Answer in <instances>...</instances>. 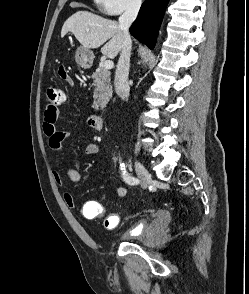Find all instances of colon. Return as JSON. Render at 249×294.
Listing matches in <instances>:
<instances>
[{"instance_id":"obj_1","label":"colon","mask_w":249,"mask_h":294,"mask_svg":"<svg viewBox=\"0 0 249 294\" xmlns=\"http://www.w3.org/2000/svg\"><path fill=\"white\" fill-rule=\"evenodd\" d=\"M59 73L62 76L67 74L64 66H61L59 68ZM63 101H64V92L62 89H60L58 87H49L48 88V90H47V103H48V105L58 106V105L62 104ZM98 212L101 214L103 213L102 205L99 206Z\"/></svg>"}]
</instances>
